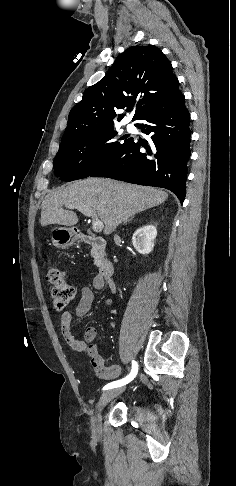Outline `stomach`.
<instances>
[{
    "label": "stomach",
    "mask_w": 236,
    "mask_h": 486,
    "mask_svg": "<svg viewBox=\"0 0 236 486\" xmlns=\"http://www.w3.org/2000/svg\"><path fill=\"white\" fill-rule=\"evenodd\" d=\"M51 240L55 247L66 248L77 240V235L73 228L55 227L51 232Z\"/></svg>",
    "instance_id": "1"
}]
</instances>
